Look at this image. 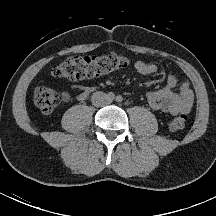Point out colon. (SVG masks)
I'll list each match as a JSON object with an SVG mask.
<instances>
[{"mask_svg":"<svg viewBox=\"0 0 216 216\" xmlns=\"http://www.w3.org/2000/svg\"><path fill=\"white\" fill-rule=\"evenodd\" d=\"M131 59L117 53L103 56H70L52 68L51 74L56 78L80 80L92 78L131 65ZM68 100L66 93L56 92L45 86H38L34 93V102L43 114L51 113L56 107ZM187 117L179 114L169 120L172 131L185 127Z\"/></svg>","mask_w":216,"mask_h":216,"instance_id":"1","label":"colon"}]
</instances>
